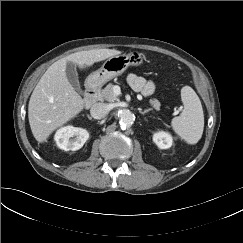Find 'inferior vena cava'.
<instances>
[{
	"label": "inferior vena cava",
	"mask_w": 243,
	"mask_h": 243,
	"mask_svg": "<svg viewBox=\"0 0 243 243\" xmlns=\"http://www.w3.org/2000/svg\"><path fill=\"white\" fill-rule=\"evenodd\" d=\"M108 113L106 106L103 103H96L90 109V114L95 119H102Z\"/></svg>",
	"instance_id": "602c4592"
}]
</instances>
